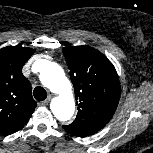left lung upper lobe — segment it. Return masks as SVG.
I'll list each match as a JSON object with an SVG mask.
<instances>
[{
	"label": "left lung upper lobe",
	"instance_id": "1",
	"mask_svg": "<svg viewBox=\"0 0 153 153\" xmlns=\"http://www.w3.org/2000/svg\"><path fill=\"white\" fill-rule=\"evenodd\" d=\"M62 52L74 85L78 113L63 129L77 137L102 129L112 118L120 98V83L113 64L90 46L64 47Z\"/></svg>",
	"mask_w": 153,
	"mask_h": 153
}]
</instances>
